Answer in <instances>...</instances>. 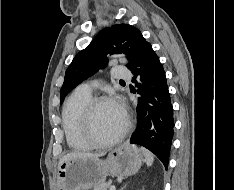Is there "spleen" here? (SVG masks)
Returning a JSON list of instances; mask_svg holds the SVG:
<instances>
[{"label": "spleen", "mask_w": 234, "mask_h": 190, "mask_svg": "<svg viewBox=\"0 0 234 190\" xmlns=\"http://www.w3.org/2000/svg\"><path fill=\"white\" fill-rule=\"evenodd\" d=\"M141 152L143 153V155L145 157V162H146L147 166H151L154 162L153 154L145 148H141Z\"/></svg>", "instance_id": "obj_1"}]
</instances>
